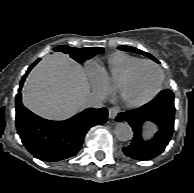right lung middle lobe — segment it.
<instances>
[{
    "label": "right lung middle lobe",
    "mask_w": 194,
    "mask_h": 193,
    "mask_svg": "<svg viewBox=\"0 0 194 193\" xmlns=\"http://www.w3.org/2000/svg\"><path fill=\"white\" fill-rule=\"evenodd\" d=\"M103 50L100 47H91V48H70L68 46H57L54 48L56 52H63L65 54H69L71 58L76 60L79 63L84 62L97 55Z\"/></svg>",
    "instance_id": "obj_1"
}]
</instances>
